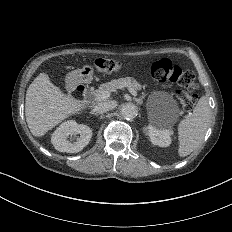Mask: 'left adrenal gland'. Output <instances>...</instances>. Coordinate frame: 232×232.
I'll list each match as a JSON object with an SVG mask.
<instances>
[{"label": "left adrenal gland", "mask_w": 232, "mask_h": 232, "mask_svg": "<svg viewBox=\"0 0 232 232\" xmlns=\"http://www.w3.org/2000/svg\"><path fill=\"white\" fill-rule=\"evenodd\" d=\"M144 97H145V96H141V97L137 100L139 104H142V102H143L142 99H143Z\"/></svg>", "instance_id": "a2214340"}]
</instances>
